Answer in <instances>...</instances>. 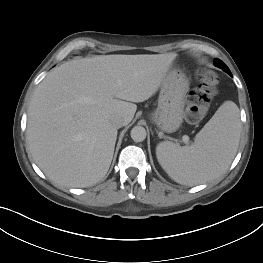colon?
<instances>
[{
	"label": "colon",
	"instance_id": "obj_1",
	"mask_svg": "<svg viewBox=\"0 0 263 263\" xmlns=\"http://www.w3.org/2000/svg\"><path fill=\"white\" fill-rule=\"evenodd\" d=\"M197 86L186 99L185 117L191 123L202 120L209 110L211 100L218 93L219 76L212 70L197 72Z\"/></svg>",
	"mask_w": 263,
	"mask_h": 263
}]
</instances>
